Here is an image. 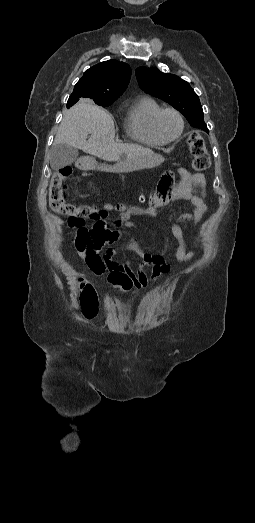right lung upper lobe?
<instances>
[{
	"label": "right lung upper lobe",
	"instance_id": "1",
	"mask_svg": "<svg viewBox=\"0 0 255 523\" xmlns=\"http://www.w3.org/2000/svg\"><path fill=\"white\" fill-rule=\"evenodd\" d=\"M131 76L128 64L117 60L101 62L86 70L70 95L67 108L79 100L86 102H114L127 88Z\"/></svg>",
	"mask_w": 255,
	"mask_h": 523
}]
</instances>
